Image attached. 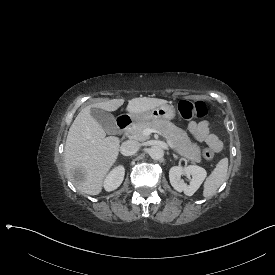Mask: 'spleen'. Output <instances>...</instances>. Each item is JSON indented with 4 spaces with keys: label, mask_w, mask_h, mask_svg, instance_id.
<instances>
[{
    "label": "spleen",
    "mask_w": 275,
    "mask_h": 275,
    "mask_svg": "<svg viewBox=\"0 0 275 275\" xmlns=\"http://www.w3.org/2000/svg\"><path fill=\"white\" fill-rule=\"evenodd\" d=\"M228 171V159L224 158L218 162L216 168L206 178L203 186V197H212L218 188L225 182Z\"/></svg>",
    "instance_id": "spleen-1"
}]
</instances>
